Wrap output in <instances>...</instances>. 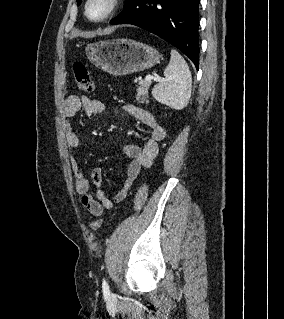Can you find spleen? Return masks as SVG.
<instances>
[{
    "label": "spleen",
    "mask_w": 284,
    "mask_h": 319,
    "mask_svg": "<svg viewBox=\"0 0 284 319\" xmlns=\"http://www.w3.org/2000/svg\"><path fill=\"white\" fill-rule=\"evenodd\" d=\"M171 59L162 79L152 90L153 97L160 103L180 110L187 106L191 96V73L184 58L171 50Z\"/></svg>",
    "instance_id": "spleen-1"
}]
</instances>
